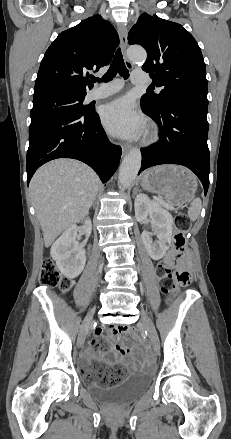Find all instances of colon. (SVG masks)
I'll return each instance as SVG.
<instances>
[{"mask_svg": "<svg viewBox=\"0 0 231 439\" xmlns=\"http://www.w3.org/2000/svg\"><path fill=\"white\" fill-rule=\"evenodd\" d=\"M189 228V218L183 213L178 214L175 218V234L173 237V244L176 250L174 259L172 261L163 262L157 267V276L162 289L169 294H173L178 286H186L191 282L190 272L181 265L187 257L185 232L188 231ZM40 283L44 287H58L63 291L68 290L71 286L70 280L60 275L51 260H45L42 264ZM115 330L118 333H134V329L130 326H120ZM94 344L96 348L103 349L101 340ZM126 375L127 371L119 365H114L107 370H95V380L101 386L116 385L120 383Z\"/></svg>", "mask_w": 231, "mask_h": 439, "instance_id": "1", "label": "colon"}]
</instances>
